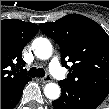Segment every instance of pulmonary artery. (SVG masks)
<instances>
[{"label": "pulmonary artery", "mask_w": 109, "mask_h": 109, "mask_svg": "<svg viewBox=\"0 0 109 109\" xmlns=\"http://www.w3.org/2000/svg\"><path fill=\"white\" fill-rule=\"evenodd\" d=\"M55 69H57V70L60 69V64H59V62L57 60L53 64V68H52L53 73H57V70H55Z\"/></svg>", "instance_id": "1"}]
</instances>
